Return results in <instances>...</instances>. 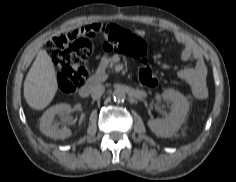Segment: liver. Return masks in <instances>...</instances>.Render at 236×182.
<instances>
[{
	"mask_svg": "<svg viewBox=\"0 0 236 182\" xmlns=\"http://www.w3.org/2000/svg\"><path fill=\"white\" fill-rule=\"evenodd\" d=\"M58 90L55 67L47 51L38 52L24 81V98L35 110H42L53 100Z\"/></svg>",
	"mask_w": 236,
	"mask_h": 182,
	"instance_id": "1",
	"label": "liver"
}]
</instances>
